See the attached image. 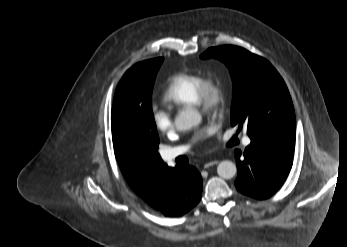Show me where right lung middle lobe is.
<instances>
[{"label": "right lung middle lobe", "instance_id": "right-lung-middle-lobe-1", "mask_svg": "<svg viewBox=\"0 0 347 247\" xmlns=\"http://www.w3.org/2000/svg\"><path fill=\"white\" fill-rule=\"evenodd\" d=\"M163 58L132 66L119 82L112 107L113 138L157 155L159 135L152 112V90Z\"/></svg>", "mask_w": 347, "mask_h": 247}]
</instances>
